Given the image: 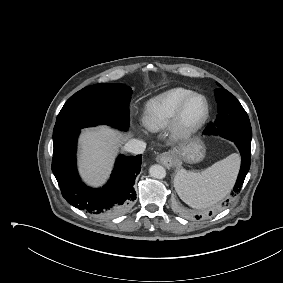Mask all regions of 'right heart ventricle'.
<instances>
[{"label":"right heart ventricle","mask_w":283,"mask_h":283,"mask_svg":"<svg viewBox=\"0 0 283 283\" xmlns=\"http://www.w3.org/2000/svg\"><path fill=\"white\" fill-rule=\"evenodd\" d=\"M191 90L177 87L164 91L147 101L142 122L150 132H159L168 127L175 111Z\"/></svg>","instance_id":"obj_1"}]
</instances>
